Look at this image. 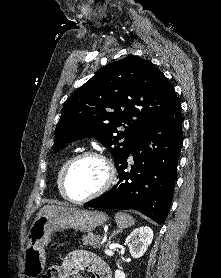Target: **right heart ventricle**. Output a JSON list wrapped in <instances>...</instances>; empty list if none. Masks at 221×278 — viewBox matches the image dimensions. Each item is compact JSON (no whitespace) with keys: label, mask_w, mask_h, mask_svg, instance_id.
Segmentation results:
<instances>
[{"label":"right heart ventricle","mask_w":221,"mask_h":278,"mask_svg":"<svg viewBox=\"0 0 221 278\" xmlns=\"http://www.w3.org/2000/svg\"><path fill=\"white\" fill-rule=\"evenodd\" d=\"M69 160L68 157H65L63 159V161L61 162L59 168H58V172H57V179H56V182H57V187H58V190L59 192L62 194L61 192V186H60V180H61V174H62V171H63V168L65 166V164L67 163V161Z\"/></svg>","instance_id":"right-heart-ventricle-1"}]
</instances>
